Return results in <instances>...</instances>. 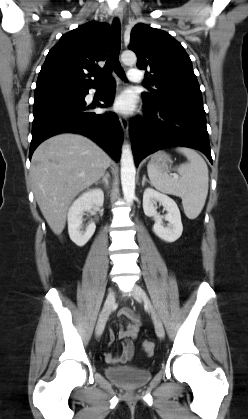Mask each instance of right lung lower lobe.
<instances>
[{
  "instance_id": "1",
  "label": "right lung lower lobe",
  "mask_w": 248,
  "mask_h": 419,
  "mask_svg": "<svg viewBox=\"0 0 248 419\" xmlns=\"http://www.w3.org/2000/svg\"><path fill=\"white\" fill-rule=\"evenodd\" d=\"M87 94L88 90L81 94H48L34 98L30 158L45 139L62 132H74L89 137L119 161L123 132L117 115L114 112L96 114L91 111L96 106L106 107L113 103L114 79H109L101 97L105 104L87 105Z\"/></svg>"
}]
</instances>
